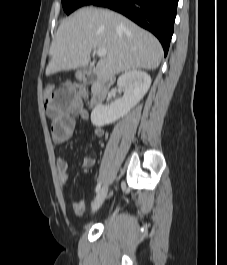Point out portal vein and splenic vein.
Here are the masks:
<instances>
[{
    "label": "portal vein and splenic vein",
    "instance_id": "obj_1",
    "mask_svg": "<svg viewBox=\"0 0 227 265\" xmlns=\"http://www.w3.org/2000/svg\"><path fill=\"white\" fill-rule=\"evenodd\" d=\"M96 53L99 57H104L107 54L106 50L104 49H98Z\"/></svg>",
    "mask_w": 227,
    "mask_h": 265
}]
</instances>
